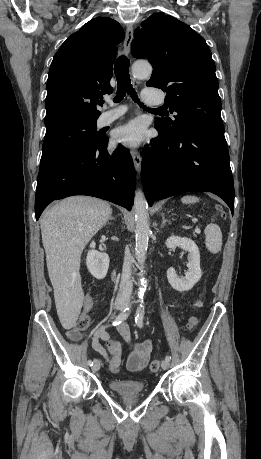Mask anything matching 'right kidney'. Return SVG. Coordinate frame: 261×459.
Returning <instances> with one entry per match:
<instances>
[{
	"mask_svg": "<svg viewBox=\"0 0 261 459\" xmlns=\"http://www.w3.org/2000/svg\"><path fill=\"white\" fill-rule=\"evenodd\" d=\"M95 246V242L92 241L90 244L91 250L86 258V265L91 275L101 280L105 278L108 272L110 259L107 253L96 251Z\"/></svg>",
	"mask_w": 261,
	"mask_h": 459,
	"instance_id": "right-kidney-1",
	"label": "right kidney"
}]
</instances>
